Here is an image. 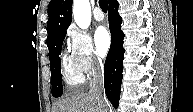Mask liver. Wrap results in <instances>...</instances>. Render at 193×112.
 Instances as JSON below:
<instances>
[{
	"label": "liver",
	"mask_w": 193,
	"mask_h": 112,
	"mask_svg": "<svg viewBox=\"0 0 193 112\" xmlns=\"http://www.w3.org/2000/svg\"><path fill=\"white\" fill-rule=\"evenodd\" d=\"M107 110L108 105L105 100ZM103 107L94 94H79L65 97L55 103L52 112H102Z\"/></svg>",
	"instance_id": "1"
}]
</instances>
